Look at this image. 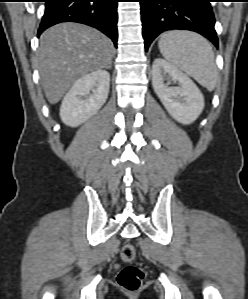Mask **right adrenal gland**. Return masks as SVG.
I'll return each instance as SVG.
<instances>
[{"instance_id":"2a0ac1e0","label":"right adrenal gland","mask_w":248,"mask_h":299,"mask_svg":"<svg viewBox=\"0 0 248 299\" xmlns=\"http://www.w3.org/2000/svg\"><path fill=\"white\" fill-rule=\"evenodd\" d=\"M108 69H111V63L109 64V66L107 67Z\"/></svg>"}]
</instances>
